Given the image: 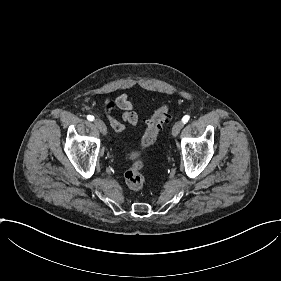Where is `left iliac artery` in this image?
Instances as JSON below:
<instances>
[{"label": "left iliac artery", "instance_id": "obj_1", "mask_svg": "<svg viewBox=\"0 0 281 281\" xmlns=\"http://www.w3.org/2000/svg\"><path fill=\"white\" fill-rule=\"evenodd\" d=\"M189 116L188 115H185L183 118H182V122L185 124L186 122H188L189 120Z\"/></svg>", "mask_w": 281, "mask_h": 281}]
</instances>
